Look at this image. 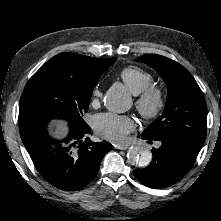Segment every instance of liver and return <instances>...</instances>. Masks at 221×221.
<instances>
[{
  "label": "liver",
  "mask_w": 221,
  "mask_h": 221,
  "mask_svg": "<svg viewBox=\"0 0 221 221\" xmlns=\"http://www.w3.org/2000/svg\"><path fill=\"white\" fill-rule=\"evenodd\" d=\"M57 132H62L64 130V127L62 126V123H59L57 126Z\"/></svg>",
  "instance_id": "1"
}]
</instances>
